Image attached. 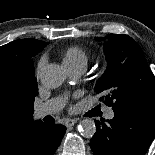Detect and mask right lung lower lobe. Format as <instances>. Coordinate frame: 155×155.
<instances>
[{"instance_id":"right-lung-lower-lobe-1","label":"right lung lower lobe","mask_w":155,"mask_h":155,"mask_svg":"<svg viewBox=\"0 0 155 155\" xmlns=\"http://www.w3.org/2000/svg\"><path fill=\"white\" fill-rule=\"evenodd\" d=\"M65 126L39 122L27 129L11 155H53L65 134Z\"/></svg>"}]
</instances>
